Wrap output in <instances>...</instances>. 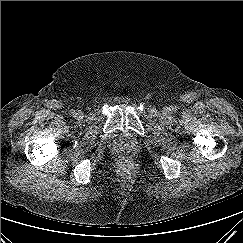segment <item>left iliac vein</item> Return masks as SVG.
I'll return each instance as SVG.
<instances>
[{
  "mask_svg": "<svg viewBox=\"0 0 243 243\" xmlns=\"http://www.w3.org/2000/svg\"><path fill=\"white\" fill-rule=\"evenodd\" d=\"M163 114H168L169 113V108L168 107H164L162 110Z\"/></svg>",
  "mask_w": 243,
  "mask_h": 243,
  "instance_id": "4c4485c4",
  "label": "left iliac vein"
}]
</instances>
